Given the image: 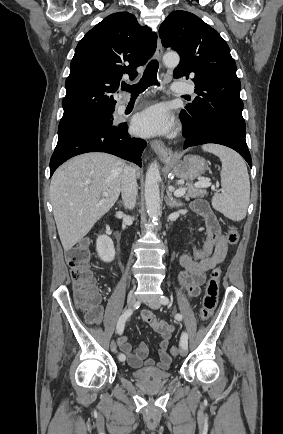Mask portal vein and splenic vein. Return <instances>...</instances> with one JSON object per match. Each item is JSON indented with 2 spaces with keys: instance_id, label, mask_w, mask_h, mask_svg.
I'll return each instance as SVG.
<instances>
[{
  "instance_id": "obj_1",
  "label": "portal vein and splenic vein",
  "mask_w": 283,
  "mask_h": 434,
  "mask_svg": "<svg viewBox=\"0 0 283 434\" xmlns=\"http://www.w3.org/2000/svg\"><path fill=\"white\" fill-rule=\"evenodd\" d=\"M195 186H197V187H209V186H211V183H210L209 179H206V180H201V181L195 183ZM185 193H186L185 189H177L174 191V195L176 197H181ZM104 196H107V193H104Z\"/></svg>"
}]
</instances>
